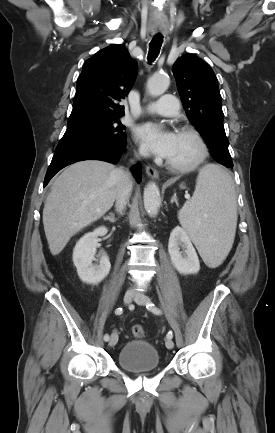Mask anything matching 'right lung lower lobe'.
Returning <instances> with one entry per match:
<instances>
[{
	"label": "right lung lower lobe",
	"instance_id": "1",
	"mask_svg": "<svg viewBox=\"0 0 275 433\" xmlns=\"http://www.w3.org/2000/svg\"><path fill=\"white\" fill-rule=\"evenodd\" d=\"M126 148L123 144H105L90 146H64L56 148L51 164L44 180V187L50 179L65 166L82 160H102L116 164ZM141 165L132 167V172L138 182H141Z\"/></svg>",
	"mask_w": 275,
	"mask_h": 433
}]
</instances>
